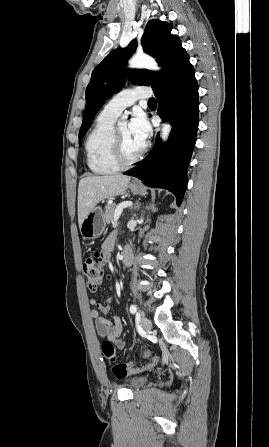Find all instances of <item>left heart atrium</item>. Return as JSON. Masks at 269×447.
I'll return each mask as SVG.
<instances>
[{
	"label": "left heart atrium",
	"instance_id": "39dd6f15",
	"mask_svg": "<svg viewBox=\"0 0 269 447\" xmlns=\"http://www.w3.org/2000/svg\"><path fill=\"white\" fill-rule=\"evenodd\" d=\"M130 131L141 142H146L151 133L149 122L143 112H134L130 122Z\"/></svg>",
	"mask_w": 269,
	"mask_h": 447
}]
</instances>
